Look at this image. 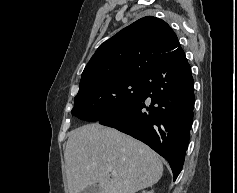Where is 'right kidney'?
<instances>
[{
    "label": "right kidney",
    "mask_w": 237,
    "mask_h": 193,
    "mask_svg": "<svg viewBox=\"0 0 237 193\" xmlns=\"http://www.w3.org/2000/svg\"><path fill=\"white\" fill-rule=\"evenodd\" d=\"M142 193H154V192L153 191H147V192L143 191Z\"/></svg>",
    "instance_id": "ca27d5eb"
}]
</instances>
